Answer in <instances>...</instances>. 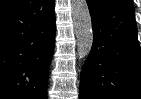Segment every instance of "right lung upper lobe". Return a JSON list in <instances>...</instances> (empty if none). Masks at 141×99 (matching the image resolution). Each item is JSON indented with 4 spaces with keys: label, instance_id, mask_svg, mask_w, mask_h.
Returning a JSON list of instances; mask_svg holds the SVG:
<instances>
[{
    "label": "right lung upper lobe",
    "instance_id": "1",
    "mask_svg": "<svg viewBox=\"0 0 141 99\" xmlns=\"http://www.w3.org/2000/svg\"><path fill=\"white\" fill-rule=\"evenodd\" d=\"M20 1L21 0H0V11L7 9Z\"/></svg>",
    "mask_w": 141,
    "mask_h": 99
}]
</instances>
